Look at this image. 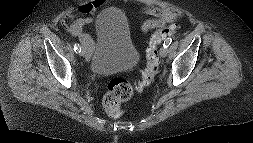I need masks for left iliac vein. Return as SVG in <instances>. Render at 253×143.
<instances>
[{
	"label": "left iliac vein",
	"instance_id": "left-iliac-vein-1",
	"mask_svg": "<svg viewBox=\"0 0 253 143\" xmlns=\"http://www.w3.org/2000/svg\"><path fill=\"white\" fill-rule=\"evenodd\" d=\"M167 54H168V49L165 48V47L161 48V50H160V56L164 58V57L167 56Z\"/></svg>",
	"mask_w": 253,
	"mask_h": 143
}]
</instances>
